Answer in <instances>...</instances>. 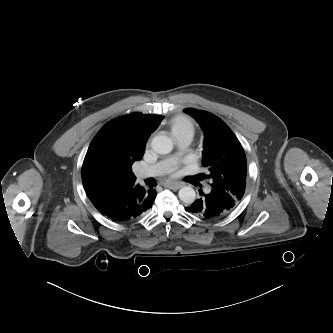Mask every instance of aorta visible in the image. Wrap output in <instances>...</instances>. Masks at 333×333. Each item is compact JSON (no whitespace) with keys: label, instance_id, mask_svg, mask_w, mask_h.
Instances as JSON below:
<instances>
[{"label":"aorta","instance_id":"762f6f07","mask_svg":"<svg viewBox=\"0 0 333 333\" xmlns=\"http://www.w3.org/2000/svg\"><path fill=\"white\" fill-rule=\"evenodd\" d=\"M152 149L158 154H168L173 149V143L167 136L159 135L155 136L151 142ZM178 196L181 201L187 204H191L195 201L196 192L190 186L182 187L179 190Z\"/></svg>","mask_w":333,"mask_h":333}]
</instances>
